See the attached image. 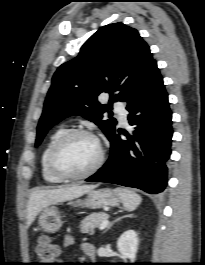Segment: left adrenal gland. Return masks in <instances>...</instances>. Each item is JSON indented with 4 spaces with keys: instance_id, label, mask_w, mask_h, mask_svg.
<instances>
[{
    "instance_id": "a2214340",
    "label": "left adrenal gland",
    "mask_w": 205,
    "mask_h": 265,
    "mask_svg": "<svg viewBox=\"0 0 205 265\" xmlns=\"http://www.w3.org/2000/svg\"><path fill=\"white\" fill-rule=\"evenodd\" d=\"M132 216H133L132 214H129V215H125V216H122V217L117 218L116 220H114L113 222H111V223L107 226V228L104 230L103 233L107 232V230H109V229L111 228V226H113V224H114L115 222H117L118 220H120V219H122V218H125V217H132Z\"/></svg>"
}]
</instances>
